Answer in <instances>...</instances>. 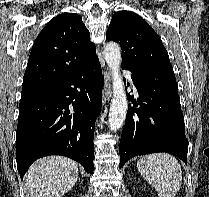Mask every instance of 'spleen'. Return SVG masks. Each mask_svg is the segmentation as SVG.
Returning <instances> with one entry per match:
<instances>
[{
  "label": "spleen",
  "mask_w": 209,
  "mask_h": 197,
  "mask_svg": "<svg viewBox=\"0 0 209 197\" xmlns=\"http://www.w3.org/2000/svg\"><path fill=\"white\" fill-rule=\"evenodd\" d=\"M140 174L158 192L159 197H175L182 184V170L177 159L166 153L143 156L137 162Z\"/></svg>",
  "instance_id": "1"
}]
</instances>
